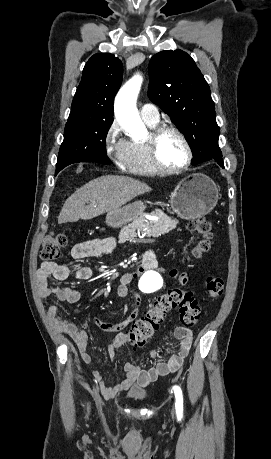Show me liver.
Instances as JSON below:
<instances>
[{
    "mask_svg": "<svg viewBox=\"0 0 271 459\" xmlns=\"http://www.w3.org/2000/svg\"><path fill=\"white\" fill-rule=\"evenodd\" d=\"M151 192V188L139 180L128 176H101L78 188L66 200L58 218V224L91 220L105 212L119 210L121 206L140 196ZM89 206H85V204Z\"/></svg>",
    "mask_w": 271,
    "mask_h": 459,
    "instance_id": "obj_1",
    "label": "liver"
}]
</instances>
